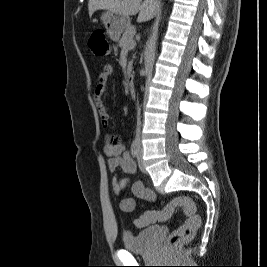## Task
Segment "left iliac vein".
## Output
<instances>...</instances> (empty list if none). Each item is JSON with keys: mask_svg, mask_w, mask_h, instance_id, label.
Here are the masks:
<instances>
[{"mask_svg": "<svg viewBox=\"0 0 267 267\" xmlns=\"http://www.w3.org/2000/svg\"><path fill=\"white\" fill-rule=\"evenodd\" d=\"M137 159H138L139 169H140L143 173H146V169H145V166H144V163H143V158H142V150H141L140 147H139V151H138Z\"/></svg>", "mask_w": 267, "mask_h": 267, "instance_id": "obj_1", "label": "left iliac vein"}]
</instances>
